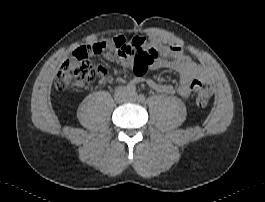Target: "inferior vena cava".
Returning <instances> with one entry per match:
<instances>
[{"instance_id": "inferior-vena-cava-1", "label": "inferior vena cava", "mask_w": 265, "mask_h": 202, "mask_svg": "<svg viewBox=\"0 0 265 202\" xmlns=\"http://www.w3.org/2000/svg\"><path fill=\"white\" fill-rule=\"evenodd\" d=\"M115 97H116L117 100L121 101V99L118 97L117 93L115 94Z\"/></svg>"}]
</instances>
